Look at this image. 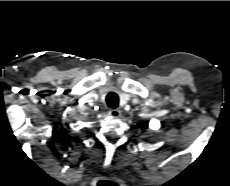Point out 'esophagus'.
<instances>
[{
    "instance_id": "1",
    "label": "esophagus",
    "mask_w": 230,
    "mask_h": 186,
    "mask_svg": "<svg viewBox=\"0 0 230 186\" xmlns=\"http://www.w3.org/2000/svg\"><path fill=\"white\" fill-rule=\"evenodd\" d=\"M109 114L112 116V117H119L121 115V112L119 109H111L109 111Z\"/></svg>"
}]
</instances>
